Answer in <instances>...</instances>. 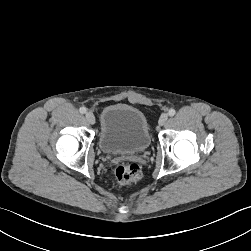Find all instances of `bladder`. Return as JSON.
Masks as SVG:
<instances>
[{
	"mask_svg": "<svg viewBox=\"0 0 251 251\" xmlns=\"http://www.w3.org/2000/svg\"><path fill=\"white\" fill-rule=\"evenodd\" d=\"M151 136L139 109L122 103L105 107L100 117L99 146L106 154H135L148 149Z\"/></svg>",
	"mask_w": 251,
	"mask_h": 251,
	"instance_id": "obj_1",
	"label": "bladder"
}]
</instances>
